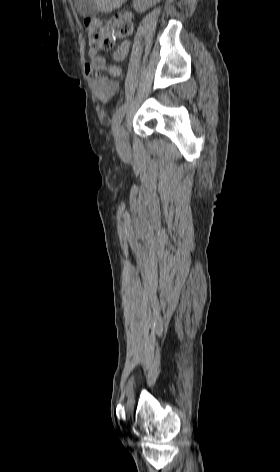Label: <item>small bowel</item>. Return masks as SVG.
<instances>
[{"label": "small bowel", "instance_id": "obj_1", "mask_svg": "<svg viewBox=\"0 0 280 472\" xmlns=\"http://www.w3.org/2000/svg\"><path fill=\"white\" fill-rule=\"evenodd\" d=\"M129 51V43L123 42L114 53V60L121 61ZM99 49L89 51L90 61L85 65V73L88 77V84L95 96L103 102L112 99L119 89V83L113 79L121 75V69L116 64L107 63L106 59L100 55Z\"/></svg>", "mask_w": 280, "mask_h": 472}]
</instances>
